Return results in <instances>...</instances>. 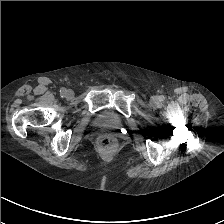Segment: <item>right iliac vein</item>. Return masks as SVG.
<instances>
[{"mask_svg": "<svg viewBox=\"0 0 224 224\" xmlns=\"http://www.w3.org/2000/svg\"><path fill=\"white\" fill-rule=\"evenodd\" d=\"M66 96H67L68 98H72V97L74 96V92H73L72 90H68V91L66 92Z\"/></svg>", "mask_w": 224, "mask_h": 224, "instance_id": "obj_1", "label": "right iliac vein"}]
</instances>
